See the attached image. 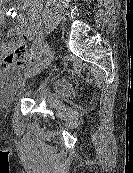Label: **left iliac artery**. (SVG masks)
Wrapping results in <instances>:
<instances>
[{
	"label": "left iliac artery",
	"mask_w": 133,
	"mask_h": 173,
	"mask_svg": "<svg viewBox=\"0 0 133 173\" xmlns=\"http://www.w3.org/2000/svg\"><path fill=\"white\" fill-rule=\"evenodd\" d=\"M40 42L42 44V48H43L42 50H43L44 54H47L49 52V50H50L49 45L47 43L42 42L41 38H40ZM32 65H34V64H31L28 68H30Z\"/></svg>",
	"instance_id": "left-iliac-artery-1"
}]
</instances>
